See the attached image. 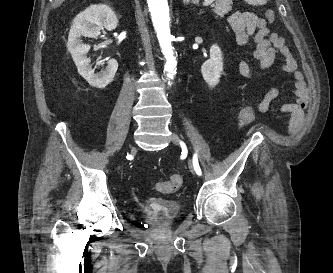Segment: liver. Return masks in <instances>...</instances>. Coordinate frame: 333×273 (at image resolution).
Segmentation results:
<instances>
[{"label":"liver","instance_id":"1","mask_svg":"<svg viewBox=\"0 0 333 273\" xmlns=\"http://www.w3.org/2000/svg\"><path fill=\"white\" fill-rule=\"evenodd\" d=\"M65 0H55L54 1V7L60 6Z\"/></svg>","mask_w":333,"mask_h":273}]
</instances>
